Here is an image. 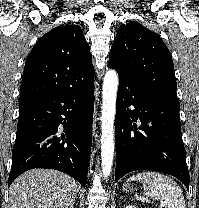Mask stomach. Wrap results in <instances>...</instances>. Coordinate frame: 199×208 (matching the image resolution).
Instances as JSON below:
<instances>
[{"mask_svg":"<svg viewBox=\"0 0 199 208\" xmlns=\"http://www.w3.org/2000/svg\"><path fill=\"white\" fill-rule=\"evenodd\" d=\"M124 186H125V189L128 190V191L131 189V186L128 185V184H126V185H124Z\"/></svg>","mask_w":199,"mask_h":208,"instance_id":"1","label":"stomach"}]
</instances>
